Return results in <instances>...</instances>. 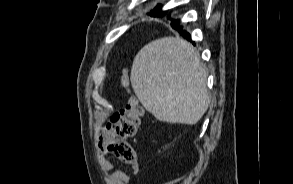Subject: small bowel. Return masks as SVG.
Instances as JSON below:
<instances>
[{
    "label": "small bowel",
    "mask_w": 293,
    "mask_h": 184,
    "mask_svg": "<svg viewBox=\"0 0 293 184\" xmlns=\"http://www.w3.org/2000/svg\"><path fill=\"white\" fill-rule=\"evenodd\" d=\"M105 136H106V128L103 127L99 130L97 135L100 148ZM99 162L102 168L105 171L109 172V175L107 178L108 184H129L130 183L129 176L124 171L120 169H115L113 163L108 158L100 156ZM131 170L134 174L138 173L139 166L137 162L131 165Z\"/></svg>",
    "instance_id": "c3829d8e"
}]
</instances>
